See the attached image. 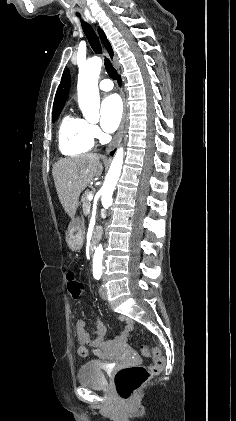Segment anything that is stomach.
<instances>
[{"instance_id":"1","label":"stomach","mask_w":236,"mask_h":421,"mask_svg":"<svg viewBox=\"0 0 236 421\" xmlns=\"http://www.w3.org/2000/svg\"><path fill=\"white\" fill-rule=\"evenodd\" d=\"M85 227L81 217H71V223L66 231V241L71 251H79L84 243Z\"/></svg>"}]
</instances>
